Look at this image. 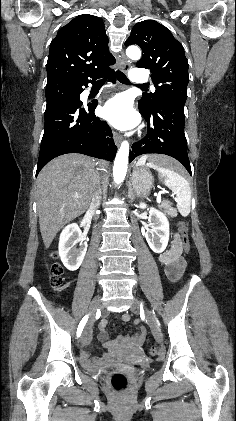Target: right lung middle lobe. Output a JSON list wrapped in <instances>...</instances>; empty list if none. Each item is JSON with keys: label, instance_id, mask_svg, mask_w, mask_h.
Instances as JSON below:
<instances>
[{"label": "right lung middle lobe", "instance_id": "dd1d6c3e", "mask_svg": "<svg viewBox=\"0 0 236 421\" xmlns=\"http://www.w3.org/2000/svg\"><path fill=\"white\" fill-rule=\"evenodd\" d=\"M46 101V108L61 103L81 104L78 89L63 85L46 86Z\"/></svg>", "mask_w": 236, "mask_h": 421}]
</instances>
